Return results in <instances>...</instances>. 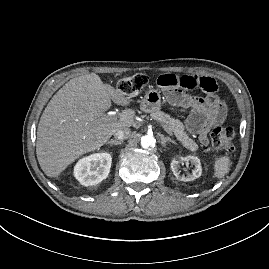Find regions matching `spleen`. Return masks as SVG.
<instances>
[{
	"instance_id": "spleen-1",
	"label": "spleen",
	"mask_w": 269,
	"mask_h": 269,
	"mask_svg": "<svg viewBox=\"0 0 269 269\" xmlns=\"http://www.w3.org/2000/svg\"><path fill=\"white\" fill-rule=\"evenodd\" d=\"M231 166V160L228 155L221 156L214 163V176L218 179H222L229 173Z\"/></svg>"
}]
</instances>
